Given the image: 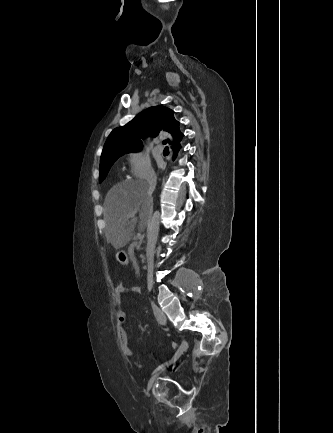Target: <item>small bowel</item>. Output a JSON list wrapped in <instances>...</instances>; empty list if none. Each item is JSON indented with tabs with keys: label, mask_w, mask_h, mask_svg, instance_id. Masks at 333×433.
Instances as JSON below:
<instances>
[{
	"label": "small bowel",
	"mask_w": 333,
	"mask_h": 433,
	"mask_svg": "<svg viewBox=\"0 0 333 433\" xmlns=\"http://www.w3.org/2000/svg\"><path fill=\"white\" fill-rule=\"evenodd\" d=\"M141 290L137 286H126L123 284L118 285L114 291L115 303L118 306L116 315H117V330L119 343L123 353L130 359H136L137 353L133 351L129 346V338L126 329V313L120 308V305L123 299L132 294H140Z\"/></svg>",
	"instance_id": "1"
}]
</instances>
